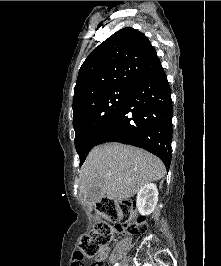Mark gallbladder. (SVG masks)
I'll list each match as a JSON object with an SVG mask.
<instances>
[{
    "instance_id": "bac80fb5",
    "label": "gallbladder",
    "mask_w": 221,
    "mask_h": 266,
    "mask_svg": "<svg viewBox=\"0 0 221 266\" xmlns=\"http://www.w3.org/2000/svg\"><path fill=\"white\" fill-rule=\"evenodd\" d=\"M104 196V192L100 186H93L88 192L85 194V201L89 205H94L99 202Z\"/></svg>"
}]
</instances>
